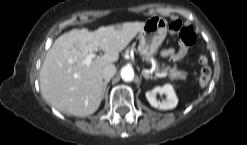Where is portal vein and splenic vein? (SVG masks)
Masks as SVG:
<instances>
[{"label":"portal vein and splenic vein","mask_w":247,"mask_h":145,"mask_svg":"<svg viewBox=\"0 0 247 145\" xmlns=\"http://www.w3.org/2000/svg\"><path fill=\"white\" fill-rule=\"evenodd\" d=\"M96 57L95 53H90L88 54L85 59L82 61L83 64L85 65H90V63L92 62V60ZM155 75L159 78H163L165 77V73H158L156 72Z\"/></svg>","instance_id":"portal-vein-and-splenic-vein-1"}]
</instances>
